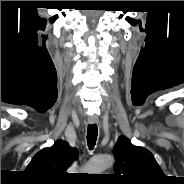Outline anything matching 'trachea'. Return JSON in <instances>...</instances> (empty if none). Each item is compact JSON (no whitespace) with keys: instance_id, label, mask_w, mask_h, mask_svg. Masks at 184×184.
<instances>
[{"instance_id":"trachea-1","label":"trachea","mask_w":184,"mask_h":184,"mask_svg":"<svg viewBox=\"0 0 184 184\" xmlns=\"http://www.w3.org/2000/svg\"><path fill=\"white\" fill-rule=\"evenodd\" d=\"M98 135V128L96 124L88 125L87 129V142L90 148H93L96 144Z\"/></svg>"}]
</instances>
